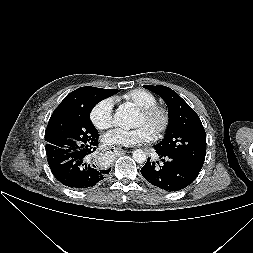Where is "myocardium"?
Segmentation results:
<instances>
[{
    "mask_svg": "<svg viewBox=\"0 0 253 253\" xmlns=\"http://www.w3.org/2000/svg\"><path fill=\"white\" fill-rule=\"evenodd\" d=\"M139 112L147 118H159V124L154 132L156 137L162 136L169 127L170 113L166 107L154 104L148 107L139 108Z\"/></svg>",
    "mask_w": 253,
    "mask_h": 253,
    "instance_id": "obj_1",
    "label": "myocardium"
}]
</instances>
